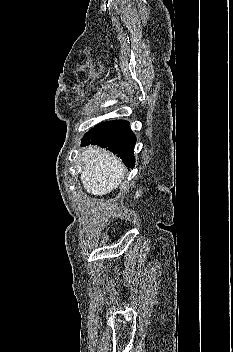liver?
Here are the masks:
<instances>
[{
    "label": "liver",
    "instance_id": "obj_1",
    "mask_svg": "<svg viewBox=\"0 0 233 352\" xmlns=\"http://www.w3.org/2000/svg\"><path fill=\"white\" fill-rule=\"evenodd\" d=\"M81 159L84 163L81 181L86 191L102 196L118 187L124 178L125 166L107 151L89 146L83 149Z\"/></svg>",
    "mask_w": 233,
    "mask_h": 352
}]
</instances>
